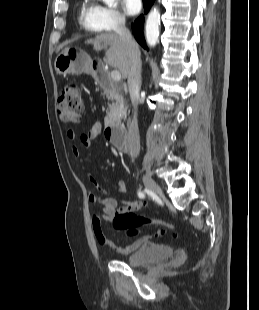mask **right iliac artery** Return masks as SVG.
<instances>
[{"mask_svg":"<svg viewBox=\"0 0 259 310\" xmlns=\"http://www.w3.org/2000/svg\"><path fill=\"white\" fill-rule=\"evenodd\" d=\"M138 196H139L140 198H144V197H145V194H144L143 191H139V192H138Z\"/></svg>","mask_w":259,"mask_h":310,"instance_id":"1","label":"right iliac artery"}]
</instances>
